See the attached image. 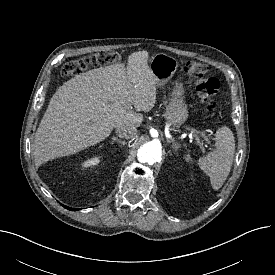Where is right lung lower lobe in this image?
Wrapping results in <instances>:
<instances>
[{"mask_svg":"<svg viewBox=\"0 0 275 275\" xmlns=\"http://www.w3.org/2000/svg\"><path fill=\"white\" fill-rule=\"evenodd\" d=\"M62 206H64V205H62ZM66 209H68V210H71V211H76V210H78V209H76V208H70V207H67V206H64Z\"/></svg>","mask_w":275,"mask_h":275,"instance_id":"98d812e1","label":"right lung lower lobe"}]
</instances>
